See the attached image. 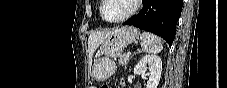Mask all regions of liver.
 <instances>
[{"label":"liver","instance_id":"obj_1","mask_svg":"<svg viewBox=\"0 0 227 88\" xmlns=\"http://www.w3.org/2000/svg\"><path fill=\"white\" fill-rule=\"evenodd\" d=\"M111 31H96L90 34L88 38V49L90 59L99 45L111 34Z\"/></svg>","mask_w":227,"mask_h":88}]
</instances>
